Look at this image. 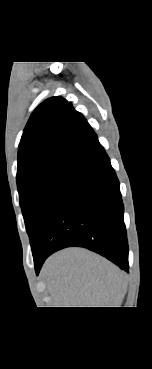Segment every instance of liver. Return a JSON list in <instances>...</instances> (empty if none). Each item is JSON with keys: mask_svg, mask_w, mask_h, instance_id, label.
I'll return each instance as SVG.
<instances>
[{"mask_svg": "<svg viewBox=\"0 0 152 369\" xmlns=\"http://www.w3.org/2000/svg\"><path fill=\"white\" fill-rule=\"evenodd\" d=\"M42 276L56 307H120L127 290L124 272L82 248L51 256Z\"/></svg>", "mask_w": 152, "mask_h": 369, "instance_id": "liver-1", "label": "liver"}]
</instances>
